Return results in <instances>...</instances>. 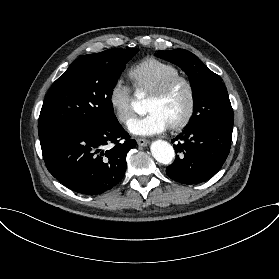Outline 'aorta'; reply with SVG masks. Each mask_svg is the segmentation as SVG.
<instances>
[{
  "instance_id": "1",
  "label": "aorta",
  "mask_w": 279,
  "mask_h": 279,
  "mask_svg": "<svg viewBox=\"0 0 279 279\" xmlns=\"http://www.w3.org/2000/svg\"><path fill=\"white\" fill-rule=\"evenodd\" d=\"M133 109L138 114L142 113L144 106L140 101L133 103ZM152 156L159 162L165 165L171 164L175 157L174 148L166 141L156 140L150 147Z\"/></svg>"
}]
</instances>
